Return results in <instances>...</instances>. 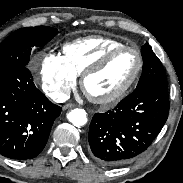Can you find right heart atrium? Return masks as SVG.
<instances>
[{
	"mask_svg": "<svg viewBox=\"0 0 183 183\" xmlns=\"http://www.w3.org/2000/svg\"><path fill=\"white\" fill-rule=\"evenodd\" d=\"M35 61L45 93L53 100H65L76 85V75L68 68L63 56L55 53H41Z\"/></svg>",
	"mask_w": 183,
	"mask_h": 183,
	"instance_id": "d8ad5b80",
	"label": "right heart atrium"
}]
</instances>
